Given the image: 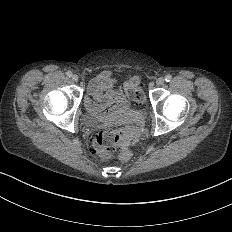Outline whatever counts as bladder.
Returning a JSON list of instances; mask_svg holds the SVG:
<instances>
[{"label":"bladder","instance_id":"31cf9c89","mask_svg":"<svg viewBox=\"0 0 232 232\" xmlns=\"http://www.w3.org/2000/svg\"><path fill=\"white\" fill-rule=\"evenodd\" d=\"M82 121L85 125H93L98 122V116L91 112L83 115Z\"/></svg>","mask_w":232,"mask_h":232}]
</instances>
